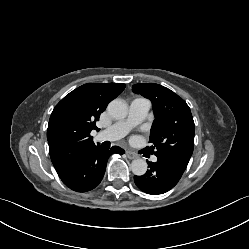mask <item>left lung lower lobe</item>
Here are the masks:
<instances>
[{
  "instance_id": "1",
  "label": "left lung lower lobe",
  "mask_w": 249,
  "mask_h": 249,
  "mask_svg": "<svg viewBox=\"0 0 249 249\" xmlns=\"http://www.w3.org/2000/svg\"><path fill=\"white\" fill-rule=\"evenodd\" d=\"M157 158L155 163L148 162L149 170L144 175L134 177L138 188L152 195L163 194L172 189L188 165L164 156H157Z\"/></svg>"
}]
</instances>
